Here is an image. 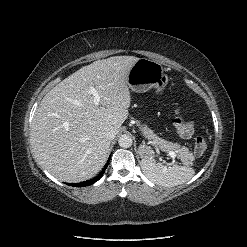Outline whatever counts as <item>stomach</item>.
<instances>
[{"label":"stomach","mask_w":247,"mask_h":247,"mask_svg":"<svg viewBox=\"0 0 247 247\" xmlns=\"http://www.w3.org/2000/svg\"><path fill=\"white\" fill-rule=\"evenodd\" d=\"M169 81L164 73L162 65L154 60L140 58L132 66L128 74V86L137 93L146 92L155 88L158 93L162 92ZM140 156L144 159H153L154 153L149 147L141 146Z\"/></svg>","instance_id":"obj_1"}]
</instances>
